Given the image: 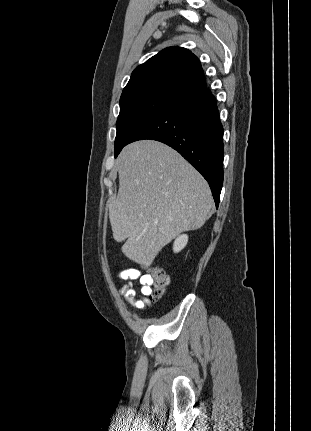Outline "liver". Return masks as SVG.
Instances as JSON below:
<instances>
[{
	"label": "liver",
	"mask_w": 311,
	"mask_h": 431,
	"mask_svg": "<svg viewBox=\"0 0 311 431\" xmlns=\"http://www.w3.org/2000/svg\"><path fill=\"white\" fill-rule=\"evenodd\" d=\"M117 168L119 190L109 204L113 237L125 241L123 253L145 269L176 235L202 227L211 216L206 180L169 146L153 140L129 144Z\"/></svg>",
	"instance_id": "6515ba94"
}]
</instances>
